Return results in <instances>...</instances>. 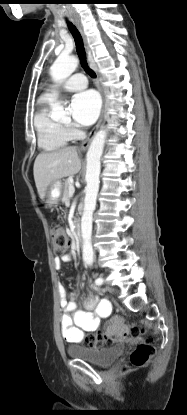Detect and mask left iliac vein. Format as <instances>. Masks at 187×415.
Here are the masks:
<instances>
[{"label":"left iliac vein","mask_w":187,"mask_h":415,"mask_svg":"<svg viewBox=\"0 0 187 415\" xmlns=\"http://www.w3.org/2000/svg\"><path fill=\"white\" fill-rule=\"evenodd\" d=\"M106 289H107L110 293H112V294H114V293L116 292L115 288H113V287H112V286H110V285H107V286H106Z\"/></svg>","instance_id":"1"}]
</instances>
